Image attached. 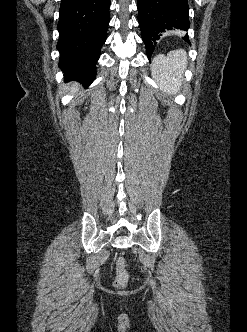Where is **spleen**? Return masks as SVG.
<instances>
[{
  "label": "spleen",
  "instance_id": "1",
  "mask_svg": "<svg viewBox=\"0 0 247 332\" xmlns=\"http://www.w3.org/2000/svg\"><path fill=\"white\" fill-rule=\"evenodd\" d=\"M187 67L185 50L171 51L165 55H157L152 62V73L165 93H178L183 82V73Z\"/></svg>",
  "mask_w": 247,
  "mask_h": 332
}]
</instances>
